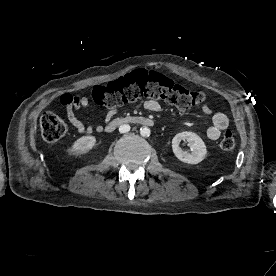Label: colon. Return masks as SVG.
<instances>
[{
	"instance_id": "1",
	"label": "colon",
	"mask_w": 276,
	"mask_h": 276,
	"mask_svg": "<svg viewBox=\"0 0 276 276\" xmlns=\"http://www.w3.org/2000/svg\"><path fill=\"white\" fill-rule=\"evenodd\" d=\"M94 102L107 107H115L141 98L161 99L178 108L186 109L206 101L203 92L190 91L163 74L138 69L127 77L112 82L106 86H97L91 91ZM42 136L47 142H55L66 133L63 120L54 113H45L40 121ZM235 147V137L231 131H226L221 140L223 151H232Z\"/></svg>"
}]
</instances>
